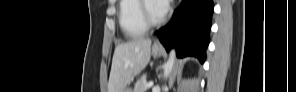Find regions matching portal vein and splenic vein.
<instances>
[{
    "label": "portal vein and splenic vein",
    "mask_w": 296,
    "mask_h": 92,
    "mask_svg": "<svg viewBox=\"0 0 296 92\" xmlns=\"http://www.w3.org/2000/svg\"><path fill=\"white\" fill-rule=\"evenodd\" d=\"M152 86H153V81H150L149 83L146 84V87H147V88H150V87H152Z\"/></svg>",
    "instance_id": "1"
}]
</instances>
